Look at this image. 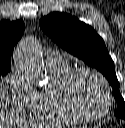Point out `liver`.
<instances>
[{"mask_svg": "<svg viewBox=\"0 0 125 128\" xmlns=\"http://www.w3.org/2000/svg\"><path fill=\"white\" fill-rule=\"evenodd\" d=\"M9 97L7 91L0 83V128H10L13 120L9 112Z\"/></svg>", "mask_w": 125, "mask_h": 128, "instance_id": "liver-1", "label": "liver"}]
</instances>
